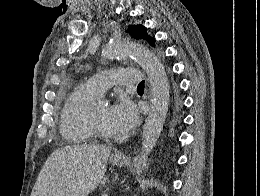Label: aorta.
Segmentation results:
<instances>
[{"label": "aorta", "mask_w": 260, "mask_h": 196, "mask_svg": "<svg viewBox=\"0 0 260 196\" xmlns=\"http://www.w3.org/2000/svg\"><path fill=\"white\" fill-rule=\"evenodd\" d=\"M102 54L109 59L133 57L146 72L151 85L152 105L142 135L141 153L133 161L137 173H141L148 167V156L156 145L166 119L169 103L168 78L157 56L140 44L129 41L113 42Z\"/></svg>", "instance_id": "obj_1"}]
</instances>
